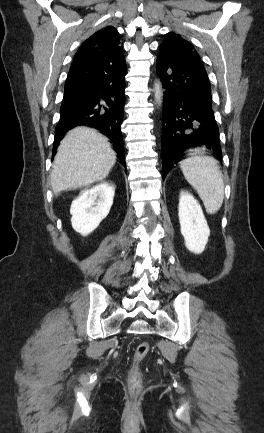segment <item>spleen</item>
<instances>
[{"label": "spleen", "mask_w": 264, "mask_h": 433, "mask_svg": "<svg viewBox=\"0 0 264 433\" xmlns=\"http://www.w3.org/2000/svg\"><path fill=\"white\" fill-rule=\"evenodd\" d=\"M180 168L185 179L199 194L206 211L215 214L224 199L223 175L217 160L194 150L191 157L180 162Z\"/></svg>", "instance_id": "obj_1"}]
</instances>
